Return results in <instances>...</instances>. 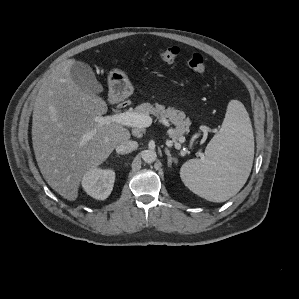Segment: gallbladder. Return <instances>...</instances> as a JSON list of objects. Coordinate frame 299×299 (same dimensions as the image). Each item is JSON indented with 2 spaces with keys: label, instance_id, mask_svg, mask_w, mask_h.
<instances>
[{
  "label": "gallbladder",
  "instance_id": "bac80fb5",
  "mask_svg": "<svg viewBox=\"0 0 299 299\" xmlns=\"http://www.w3.org/2000/svg\"><path fill=\"white\" fill-rule=\"evenodd\" d=\"M70 77L83 90H88L94 94L103 92V86L96 79L92 68L84 62L76 61L72 64Z\"/></svg>",
  "mask_w": 299,
  "mask_h": 299
}]
</instances>
